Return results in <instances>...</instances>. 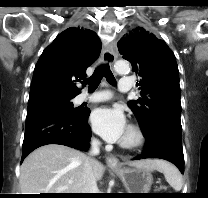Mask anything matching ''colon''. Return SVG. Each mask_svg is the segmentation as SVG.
Listing matches in <instances>:
<instances>
[{"label":"colon","instance_id":"1","mask_svg":"<svg viewBox=\"0 0 208 198\" xmlns=\"http://www.w3.org/2000/svg\"><path fill=\"white\" fill-rule=\"evenodd\" d=\"M158 190H166V187H165V186H160V187L158 188Z\"/></svg>","mask_w":208,"mask_h":198}]
</instances>
